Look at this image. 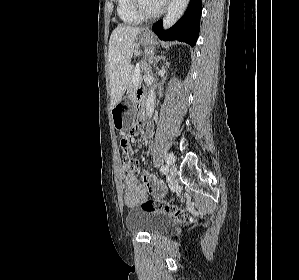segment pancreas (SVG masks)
<instances>
[{
    "label": "pancreas",
    "instance_id": "obj_1",
    "mask_svg": "<svg viewBox=\"0 0 299 280\" xmlns=\"http://www.w3.org/2000/svg\"><path fill=\"white\" fill-rule=\"evenodd\" d=\"M133 76H134V72L131 73V80H130V83H129V87H128V91L129 93H133V91L136 89V87L138 86L134 84L133 82ZM141 79V78H140Z\"/></svg>",
    "mask_w": 299,
    "mask_h": 280
}]
</instances>
